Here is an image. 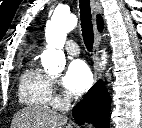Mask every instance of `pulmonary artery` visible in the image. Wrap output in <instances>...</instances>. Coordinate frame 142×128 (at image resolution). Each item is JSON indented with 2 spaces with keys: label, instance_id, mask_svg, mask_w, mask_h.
Returning <instances> with one entry per match:
<instances>
[{
  "label": "pulmonary artery",
  "instance_id": "obj_1",
  "mask_svg": "<svg viewBox=\"0 0 142 128\" xmlns=\"http://www.w3.org/2000/svg\"><path fill=\"white\" fill-rule=\"evenodd\" d=\"M65 50L68 54L73 56H77L80 52L78 44L73 40H69L66 42Z\"/></svg>",
  "mask_w": 142,
  "mask_h": 128
}]
</instances>
